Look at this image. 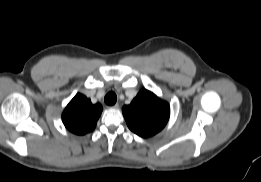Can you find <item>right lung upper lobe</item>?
Here are the masks:
<instances>
[{"label":"right lung upper lobe","mask_w":261,"mask_h":182,"mask_svg":"<svg viewBox=\"0 0 261 182\" xmlns=\"http://www.w3.org/2000/svg\"><path fill=\"white\" fill-rule=\"evenodd\" d=\"M101 112V104H92L90 99L78 93L63 111L62 121L72 133L84 135L94 130Z\"/></svg>","instance_id":"1"}]
</instances>
